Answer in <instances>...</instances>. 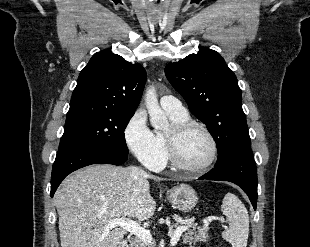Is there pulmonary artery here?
<instances>
[{"mask_svg": "<svg viewBox=\"0 0 310 247\" xmlns=\"http://www.w3.org/2000/svg\"><path fill=\"white\" fill-rule=\"evenodd\" d=\"M161 107L175 115H186L188 114L186 108L176 97L172 95H165L160 99Z\"/></svg>", "mask_w": 310, "mask_h": 247, "instance_id": "obj_1", "label": "pulmonary artery"}]
</instances>
